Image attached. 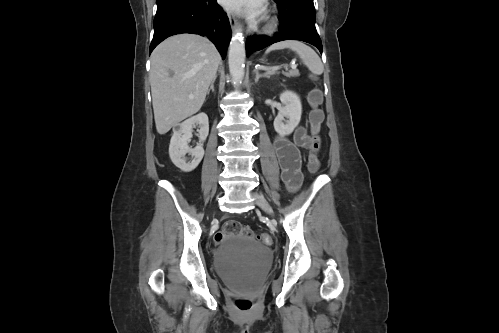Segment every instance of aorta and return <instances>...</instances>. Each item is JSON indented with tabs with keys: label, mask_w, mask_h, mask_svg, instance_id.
<instances>
[{
	"label": "aorta",
	"mask_w": 499,
	"mask_h": 333,
	"mask_svg": "<svg viewBox=\"0 0 499 333\" xmlns=\"http://www.w3.org/2000/svg\"><path fill=\"white\" fill-rule=\"evenodd\" d=\"M245 44L242 30L239 28L232 35L229 46V72L235 82H241L244 77Z\"/></svg>",
	"instance_id": "1"
}]
</instances>
